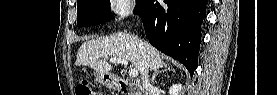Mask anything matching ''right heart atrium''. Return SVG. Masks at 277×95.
<instances>
[{"label": "right heart atrium", "mask_w": 277, "mask_h": 95, "mask_svg": "<svg viewBox=\"0 0 277 95\" xmlns=\"http://www.w3.org/2000/svg\"><path fill=\"white\" fill-rule=\"evenodd\" d=\"M134 4L135 2L133 0H113L109 11L116 19L124 18L129 15Z\"/></svg>", "instance_id": "d8ad5b80"}]
</instances>
